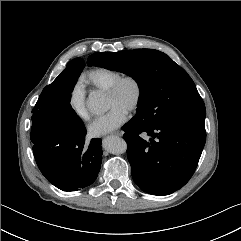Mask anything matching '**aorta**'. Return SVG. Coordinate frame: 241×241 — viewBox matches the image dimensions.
<instances>
[{"instance_id": "762f6f07", "label": "aorta", "mask_w": 241, "mask_h": 241, "mask_svg": "<svg viewBox=\"0 0 241 241\" xmlns=\"http://www.w3.org/2000/svg\"><path fill=\"white\" fill-rule=\"evenodd\" d=\"M88 108L94 114H101L106 110V103L102 94L93 92L88 98ZM104 148L112 154H122L127 150V143L120 137H107L103 141Z\"/></svg>"}]
</instances>
